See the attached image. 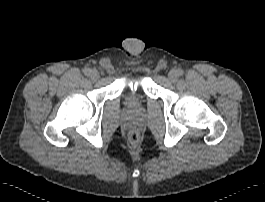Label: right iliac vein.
Listing matches in <instances>:
<instances>
[{"label":"right iliac vein","mask_w":265,"mask_h":202,"mask_svg":"<svg viewBox=\"0 0 265 202\" xmlns=\"http://www.w3.org/2000/svg\"><path fill=\"white\" fill-rule=\"evenodd\" d=\"M90 78L93 80L99 79V73L97 70H92L89 74Z\"/></svg>","instance_id":"obj_1"}]
</instances>
